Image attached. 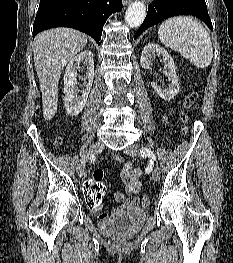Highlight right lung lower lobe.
Masks as SVG:
<instances>
[{
  "instance_id": "obj_1",
  "label": "right lung lower lobe",
  "mask_w": 233,
  "mask_h": 263,
  "mask_svg": "<svg viewBox=\"0 0 233 263\" xmlns=\"http://www.w3.org/2000/svg\"><path fill=\"white\" fill-rule=\"evenodd\" d=\"M122 10V0H41L33 25V37L53 27H71L101 44L106 19Z\"/></svg>"
}]
</instances>
